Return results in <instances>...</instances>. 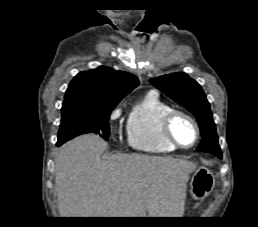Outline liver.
<instances>
[{
  "instance_id": "6515ba94",
  "label": "liver",
  "mask_w": 258,
  "mask_h": 227,
  "mask_svg": "<svg viewBox=\"0 0 258 227\" xmlns=\"http://www.w3.org/2000/svg\"><path fill=\"white\" fill-rule=\"evenodd\" d=\"M106 148L103 139L88 134L59 149L55 187L61 217H182L195 163L122 153L101 159Z\"/></svg>"
}]
</instances>
